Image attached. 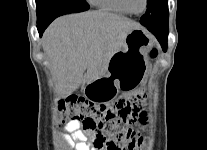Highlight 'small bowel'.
<instances>
[{
    "label": "small bowel",
    "instance_id": "1",
    "mask_svg": "<svg viewBox=\"0 0 207 150\" xmlns=\"http://www.w3.org/2000/svg\"><path fill=\"white\" fill-rule=\"evenodd\" d=\"M80 128L81 121L77 119L70 120L66 124V131L76 140V143H73L70 135L64 134L62 135V139L66 145L75 150H100L99 147L94 145V140L96 138L95 134H85Z\"/></svg>",
    "mask_w": 207,
    "mask_h": 150
}]
</instances>
